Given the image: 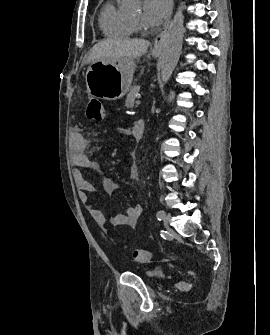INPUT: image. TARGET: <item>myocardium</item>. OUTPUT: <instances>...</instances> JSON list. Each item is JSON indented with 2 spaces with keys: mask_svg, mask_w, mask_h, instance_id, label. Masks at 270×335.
Wrapping results in <instances>:
<instances>
[{
  "mask_svg": "<svg viewBox=\"0 0 270 335\" xmlns=\"http://www.w3.org/2000/svg\"><path fill=\"white\" fill-rule=\"evenodd\" d=\"M131 22V21H130ZM131 24L133 25V26H135V24L133 23V22H131Z\"/></svg>",
  "mask_w": 270,
  "mask_h": 335,
  "instance_id": "1",
  "label": "myocardium"
}]
</instances>
